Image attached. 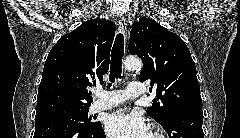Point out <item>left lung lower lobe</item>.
Segmentation results:
<instances>
[{
    "mask_svg": "<svg viewBox=\"0 0 240 138\" xmlns=\"http://www.w3.org/2000/svg\"><path fill=\"white\" fill-rule=\"evenodd\" d=\"M202 108H190L173 115L164 129L170 138H204Z\"/></svg>",
    "mask_w": 240,
    "mask_h": 138,
    "instance_id": "1",
    "label": "left lung lower lobe"
}]
</instances>
